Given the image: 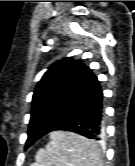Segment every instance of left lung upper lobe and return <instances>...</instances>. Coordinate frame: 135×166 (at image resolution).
Returning a JSON list of instances; mask_svg holds the SVG:
<instances>
[{
  "label": "left lung upper lobe",
  "mask_w": 135,
  "mask_h": 166,
  "mask_svg": "<svg viewBox=\"0 0 135 166\" xmlns=\"http://www.w3.org/2000/svg\"><path fill=\"white\" fill-rule=\"evenodd\" d=\"M84 67L79 60L64 58L48 68L34 90L30 124H41L62 108Z\"/></svg>",
  "instance_id": "5c2ea615"
}]
</instances>
